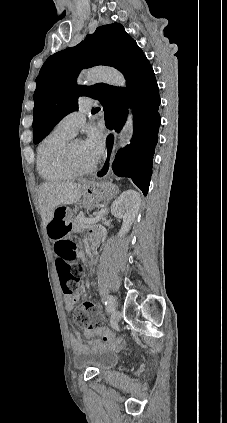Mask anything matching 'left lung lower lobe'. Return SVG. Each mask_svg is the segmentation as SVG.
Returning a JSON list of instances; mask_svg holds the SVG:
<instances>
[{"label":"left lung lower lobe","mask_w":227,"mask_h":423,"mask_svg":"<svg viewBox=\"0 0 227 423\" xmlns=\"http://www.w3.org/2000/svg\"><path fill=\"white\" fill-rule=\"evenodd\" d=\"M129 99L134 111V133L131 143L118 151L112 168L117 176L131 178L146 196L161 122L160 96L153 71L131 93ZM104 115L106 127L119 131L126 121L127 107H112Z\"/></svg>","instance_id":"0a47b994"}]
</instances>
